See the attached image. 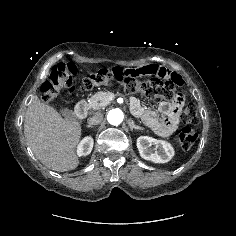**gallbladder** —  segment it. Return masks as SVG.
Returning <instances> with one entry per match:
<instances>
[{"label": "gallbladder", "instance_id": "gallbladder-1", "mask_svg": "<svg viewBox=\"0 0 236 236\" xmlns=\"http://www.w3.org/2000/svg\"><path fill=\"white\" fill-rule=\"evenodd\" d=\"M60 113L62 114V116H64L67 119H73L74 118V115H73L72 111L67 109V108L61 109Z\"/></svg>", "mask_w": 236, "mask_h": 236}]
</instances>
